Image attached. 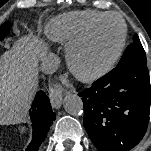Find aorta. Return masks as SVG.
<instances>
[{
	"mask_svg": "<svg viewBox=\"0 0 151 151\" xmlns=\"http://www.w3.org/2000/svg\"><path fill=\"white\" fill-rule=\"evenodd\" d=\"M65 111L73 116L81 115L83 113L82 99L76 94H67L63 100Z\"/></svg>",
	"mask_w": 151,
	"mask_h": 151,
	"instance_id": "obj_1",
	"label": "aorta"
}]
</instances>
